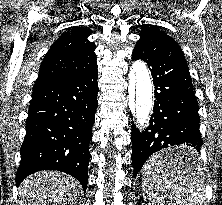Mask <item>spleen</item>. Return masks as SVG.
<instances>
[{"mask_svg": "<svg viewBox=\"0 0 222 205\" xmlns=\"http://www.w3.org/2000/svg\"><path fill=\"white\" fill-rule=\"evenodd\" d=\"M160 153L142 169V190L148 205H208L200 166L175 164Z\"/></svg>", "mask_w": 222, "mask_h": 205, "instance_id": "spleen-1", "label": "spleen"}]
</instances>
